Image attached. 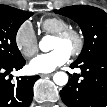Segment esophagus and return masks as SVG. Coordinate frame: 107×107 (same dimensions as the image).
Listing matches in <instances>:
<instances>
[{
  "mask_svg": "<svg viewBox=\"0 0 107 107\" xmlns=\"http://www.w3.org/2000/svg\"><path fill=\"white\" fill-rule=\"evenodd\" d=\"M41 77H51L53 76V73H48V74H40Z\"/></svg>",
  "mask_w": 107,
  "mask_h": 107,
  "instance_id": "esophagus-1",
  "label": "esophagus"
}]
</instances>
